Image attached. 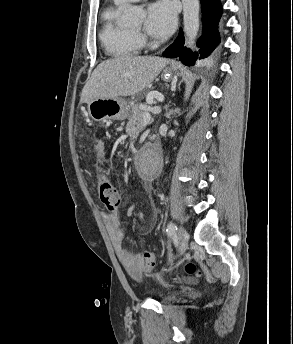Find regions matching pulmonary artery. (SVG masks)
Segmentation results:
<instances>
[{"mask_svg":"<svg viewBox=\"0 0 293 344\" xmlns=\"http://www.w3.org/2000/svg\"><path fill=\"white\" fill-rule=\"evenodd\" d=\"M114 1L119 4H125L127 2H135V1H140V0H114Z\"/></svg>","mask_w":293,"mask_h":344,"instance_id":"pulmonary-artery-1","label":"pulmonary artery"}]
</instances>
